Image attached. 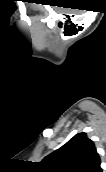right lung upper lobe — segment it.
Here are the masks:
<instances>
[{"instance_id":"1","label":"right lung upper lobe","mask_w":106,"mask_h":172,"mask_svg":"<svg viewBox=\"0 0 106 172\" xmlns=\"http://www.w3.org/2000/svg\"><path fill=\"white\" fill-rule=\"evenodd\" d=\"M95 145L86 133H78L40 163L43 172H103Z\"/></svg>"}]
</instances>
